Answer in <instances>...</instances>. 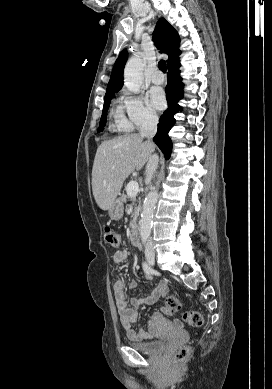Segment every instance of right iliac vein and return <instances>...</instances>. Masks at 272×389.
Instances as JSON below:
<instances>
[{
	"mask_svg": "<svg viewBox=\"0 0 272 389\" xmlns=\"http://www.w3.org/2000/svg\"><path fill=\"white\" fill-rule=\"evenodd\" d=\"M146 259L151 266L155 264V254L151 252L146 253Z\"/></svg>",
	"mask_w": 272,
	"mask_h": 389,
	"instance_id": "1",
	"label": "right iliac vein"
}]
</instances>
